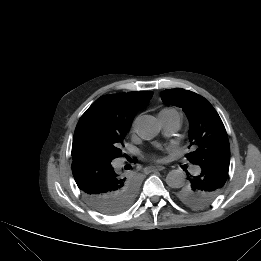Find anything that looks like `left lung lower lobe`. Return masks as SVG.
Instances as JSON below:
<instances>
[{
    "instance_id": "obj_1",
    "label": "left lung lower lobe",
    "mask_w": 261,
    "mask_h": 261,
    "mask_svg": "<svg viewBox=\"0 0 261 261\" xmlns=\"http://www.w3.org/2000/svg\"><path fill=\"white\" fill-rule=\"evenodd\" d=\"M229 163L207 161L200 165V173L189 178V187L202 192L206 197H217L225 184Z\"/></svg>"
}]
</instances>
